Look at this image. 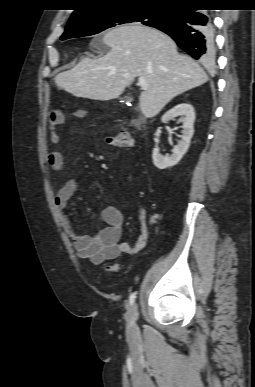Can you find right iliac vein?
Segmentation results:
<instances>
[{"mask_svg": "<svg viewBox=\"0 0 255 387\" xmlns=\"http://www.w3.org/2000/svg\"><path fill=\"white\" fill-rule=\"evenodd\" d=\"M138 318V308L137 305L134 304L126 314L127 321V332L129 335H133L136 333L137 325L136 320Z\"/></svg>", "mask_w": 255, "mask_h": 387, "instance_id": "63e3f726", "label": "right iliac vein"}]
</instances>
